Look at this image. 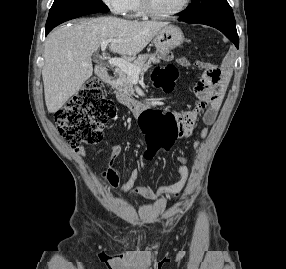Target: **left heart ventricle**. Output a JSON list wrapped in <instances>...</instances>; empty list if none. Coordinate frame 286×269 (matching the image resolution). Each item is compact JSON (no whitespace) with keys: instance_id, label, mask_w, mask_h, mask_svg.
Instances as JSON below:
<instances>
[{"instance_id":"left-heart-ventricle-1","label":"left heart ventricle","mask_w":286,"mask_h":269,"mask_svg":"<svg viewBox=\"0 0 286 269\" xmlns=\"http://www.w3.org/2000/svg\"><path fill=\"white\" fill-rule=\"evenodd\" d=\"M150 5L157 13H168L177 9L183 0H149Z\"/></svg>"}]
</instances>
